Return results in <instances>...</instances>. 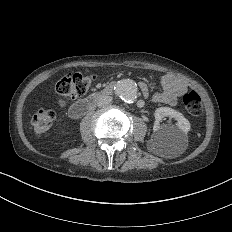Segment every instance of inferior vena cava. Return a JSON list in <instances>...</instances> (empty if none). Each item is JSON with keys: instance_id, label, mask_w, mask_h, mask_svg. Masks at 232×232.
Wrapping results in <instances>:
<instances>
[{"instance_id": "inferior-vena-cava-1", "label": "inferior vena cava", "mask_w": 232, "mask_h": 232, "mask_svg": "<svg viewBox=\"0 0 232 232\" xmlns=\"http://www.w3.org/2000/svg\"><path fill=\"white\" fill-rule=\"evenodd\" d=\"M111 101H112L111 96H103V97L100 98V104L102 106L109 104Z\"/></svg>"}]
</instances>
